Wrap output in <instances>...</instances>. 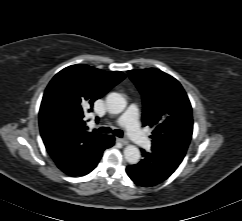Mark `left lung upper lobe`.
<instances>
[{"instance_id":"left-lung-upper-lobe-1","label":"left lung upper lobe","mask_w":242,"mask_h":221,"mask_svg":"<svg viewBox=\"0 0 242 221\" xmlns=\"http://www.w3.org/2000/svg\"><path fill=\"white\" fill-rule=\"evenodd\" d=\"M143 100V126L154 127L152 147L183 160L192 137L190 101L181 84L158 69L128 71Z\"/></svg>"}]
</instances>
